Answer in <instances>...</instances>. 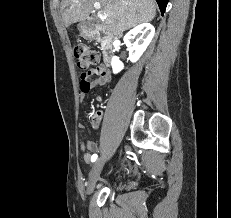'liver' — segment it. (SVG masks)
I'll return each instance as SVG.
<instances>
[{
    "label": "liver",
    "instance_id": "1",
    "mask_svg": "<svg viewBox=\"0 0 231 218\" xmlns=\"http://www.w3.org/2000/svg\"><path fill=\"white\" fill-rule=\"evenodd\" d=\"M95 2L101 4L100 12L107 16L102 20V30L113 37L141 23L150 22L156 16L154 0H63L64 25L69 27L87 20Z\"/></svg>",
    "mask_w": 231,
    "mask_h": 218
}]
</instances>
